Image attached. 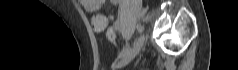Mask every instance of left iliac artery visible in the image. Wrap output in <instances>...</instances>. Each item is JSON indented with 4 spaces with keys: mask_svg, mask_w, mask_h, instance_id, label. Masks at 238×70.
I'll return each instance as SVG.
<instances>
[{
    "mask_svg": "<svg viewBox=\"0 0 238 70\" xmlns=\"http://www.w3.org/2000/svg\"><path fill=\"white\" fill-rule=\"evenodd\" d=\"M137 30H138V32H141V31H142V27H141V26H138V27H137ZM130 46L132 47L133 45L131 44ZM130 46L128 47L129 49L131 48ZM128 52H129L128 49H127V48H124V49L121 51V53L118 55V58L124 57Z\"/></svg>",
    "mask_w": 238,
    "mask_h": 70,
    "instance_id": "obj_1",
    "label": "left iliac artery"
}]
</instances>
